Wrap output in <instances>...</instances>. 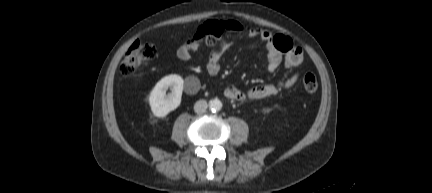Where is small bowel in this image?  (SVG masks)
I'll return each mask as SVG.
<instances>
[{
	"label": "small bowel",
	"instance_id": "1",
	"mask_svg": "<svg viewBox=\"0 0 432 193\" xmlns=\"http://www.w3.org/2000/svg\"><path fill=\"white\" fill-rule=\"evenodd\" d=\"M211 25L222 28L225 32L245 33L249 37L258 38L264 42L267 51V68L274 72L284 63L285 68L298 67L303 62V51L299 46L293 44L292 40L284 35L273 34L268 30L257 28L235 20L210 21L199 27L195 37L176 48V56L181 61H189L197 50V40L200 34ZM223 49L214 51L206 64V71L210 76H216L221 71L220 58ZM298 74L284 77L273 84H260L243 92L234 85L225 88L224 94L227 98L235 101L247 99H265L292 87L298 81ZM200 88L197 78L189 77L185 81V91L195 94Z\"/></svg>",
	"mask_w": 432,
	"mask_h": 193
}]
</instances>
